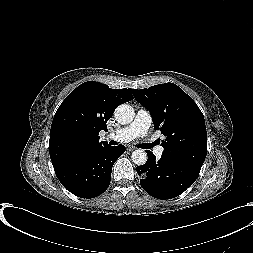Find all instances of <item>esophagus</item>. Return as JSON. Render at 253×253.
<instances>
[{
	"label": "esophagus",
	"mask_w": 253,
	"mask_h": 253,
	"mask_svg": "<svg viewBox=\"0 0 253 253\" xmlns=\"http://www.w3.org/2000/svg\"><path fill=\"white\" fill-rule=\"evenodd\" d=\"M127 150L128 151H134V150H136V148L134 146H128Z\"/></svg>",
	"instance_id": "34e87169"
}]
</instances>
